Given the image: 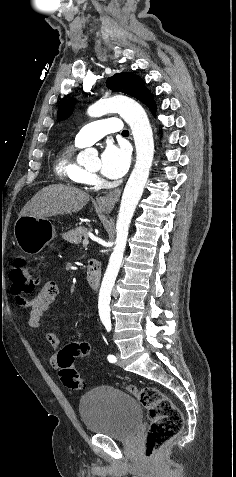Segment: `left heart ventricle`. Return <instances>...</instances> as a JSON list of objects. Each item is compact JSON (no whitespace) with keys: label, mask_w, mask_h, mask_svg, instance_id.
<instances>
[{"label":"left heart ventricle","mask_w":236,"mask_h":477,"mask_svg":"<svg viewBox=\"0 0 236 477\" xmlns=\"http://www.w3.org/2000/svg\"><path fill=\"white\" fill-rule=\"evenodd\" d=\"M99 164H100L99 159L96 158V159L94 160L92 166H91V169H92V170H97V169L99 168Z\"/></svg>","instance_id":"1"}]
</instances>
